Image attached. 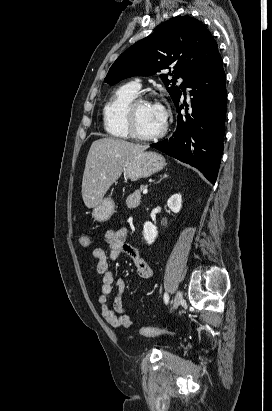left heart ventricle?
Listing matches in <instances>:
<instances>
[{
    "instance_id": "left-heart-ventricle-1",
    "label": "left heart ventricle",
    "mask_w": 272,
    "mask_h": 411,
    "mask_svg": "<svg viewBox=\"0 0 272 411\" xmlns=\"http://www.w3.org/2000/svg\"><path fill=\"white\" fill-rule=\"evenodd\" d=\"M163 117L160 115L154 103H141L136 110V127L144 135L157 133L163 125Z\"/></svg>"
}]
</instances>
